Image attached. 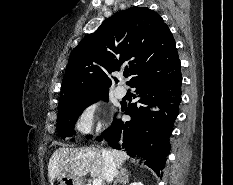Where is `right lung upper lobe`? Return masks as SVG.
I'll list each match as a JSON object with an SVG mask.
<instances>
[{"instance_id":"right-lung-upper-lobe-1","label":"right lung upper lobe","mask_w":233,"mask_h":185,"mask_svg":"<svg viewBox=\"0 0 233 185\" xmlns=\"http://www.w3.org/2000/svg\"><path fill=\"white\" fill-rule=\"evenodd\" d=\"M177 59L172 33L156 12L146 7L118 12L72 51L59 106L108 91L110 74L124 63L133 75L131 84L142 73Z\"/></svg>"}]
</instances>
